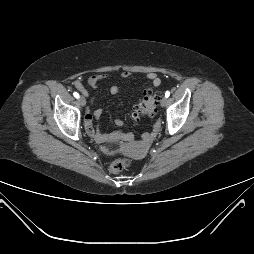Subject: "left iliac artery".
I'll list each match as a JSON object with an SVG mask.
<instances>
[{
  "mask_svg": "<svg viewBox=\"0 0 254 254\" xmlns=\"http://www.w3.org/2000/svg\"><path fill=\"white\" fill-rule=\"evenodd\" d=\"M169 96H170V92H169V91H166L165 97L168 98Z\"/></svg>",
  "mask_w": 254,
  "mask_h": 254,
  "instance_id": "44dca946",
  "label": "left iliac artery"
}]
</instances>
